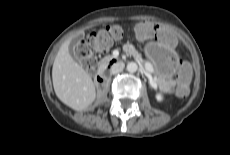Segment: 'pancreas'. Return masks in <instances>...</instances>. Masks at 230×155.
<instances>
[{"label":"pancreas","mask_w":230,"mask_h":155,"mask_svg":"<svg viewBox=\"0 0 230 155\" xmlns=\"http://www.w3.org/2000/svg\"><path fill=\"white\" fill-rule=\"evenodd\" d=\"M123 50L125 52H127L128 54H130L131 56H133L136 59L141 60V55L138 53V51L135 48H129L128 45H125L123 47ZM114 57L113 56H107L105 58L102 59V62H108L110 60H112ZM147 64V63H146ZM151 71V70H150ZM174 81L171 78H168L165 80L163 88L167 93H172L173 92V88H174Z\"/></svg>","instance_id":"obj_1"}]
</instances>
